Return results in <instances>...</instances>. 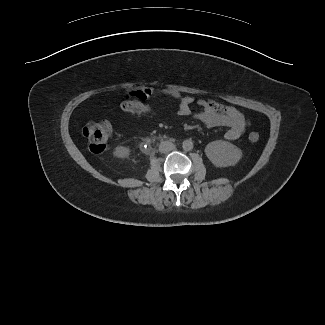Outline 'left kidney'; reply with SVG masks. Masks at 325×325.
Masks as SVG:
<instances>
[{
  "mask_svg": "<svg viewBox=\"0 0 325 325\" xmlns=\"http://www.w3.org/2000/svg\"><path fill=\"white\" fill-rule=\"evenodd\" d=\"M205 154L216 167L236 165L242 158V151L228 141L217 140L209 143Z\"/></svg>",
  "mask_w": 325,
  "mask_h": 325,
  "instance_id": "left-kidney-1",
  "label": "left kidney"
}]
</instances>
